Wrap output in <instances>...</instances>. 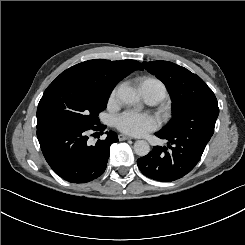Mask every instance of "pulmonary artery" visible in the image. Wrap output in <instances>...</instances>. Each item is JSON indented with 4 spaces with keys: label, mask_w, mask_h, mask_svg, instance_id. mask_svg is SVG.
I'll use <instances>...</instances> for the list:
<instances>
[{
    "label": "pulmonary artery",
    "mask_w": 245,
    "mask_h": 245,
    "mask_svg": "<svg viewBox=\"0 0 245 245\" xmlns=\"http://www.w3.org/2000/svg\"><path fill=\"white\" fill-rule=\"evenodd\" d=\"M140 90L145 101L149 104H155L161 99L160 93L148 86L142 87Z\"/></svg>",
    "instance_id": "pulmonary-artery-1"
}]
</instances>
